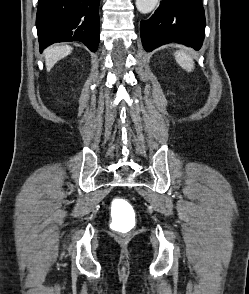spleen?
Returning <instances> with one entry per match:
<instances>
[{"label": "spleen", "instance_id": "3e777b00", "mask_svg": "<svg viewBox=\"0 0 249 294\" xmlns=\"http://www.w3.org/2000/svg\"><path fill=\"white\" fill-rule=\"evenodd\" d=\"M177 63L186 71L191 72L194 69V61L192 57L184 51L175 53Z\"/></svg>", "mask_w": 249, "mask_h": 294}]
</instances>
